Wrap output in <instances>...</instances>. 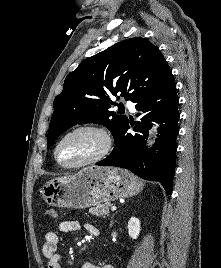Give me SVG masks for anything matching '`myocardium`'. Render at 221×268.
Returning a JSON list of instances; mask_svg holds the SVG:
<instances>
[{
    "label": "myocardium",
    "mask_w": 221,
    "mask_h": 268,
    "mask_svg": "<svg viewBox=\"0 0 221 268\" xmlns=\"http://www.w3.org/2000/svg\"><path fill=\"white\" fill-rule=\"evenodd\" d=\"M81 131H91V132H95L97 133L101 139H102V145L101 148L99 149V151L94 154L93 156H91L90 158L76 163V164H64L60 161L59 156H58V151L60 146L62 145V143L71 135L81 132ZM112 146H113V141H112V137L110 135V133L102 126L99 125H95V124H85V125H80L77 126L71 130H69L68 132H66L56 143L55 147H54V159L57 162L58 165H60L61 167L65 168V169H77V168H81L90 164H94L97 163L99 161H101L102 159H104L106 156L109 155V153L112 150Z\"/></svg>",
    "instance_id": "myocardium-1"
}]
</instances>
